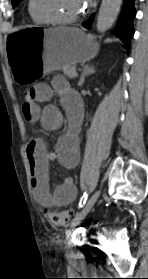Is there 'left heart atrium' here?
<instances>
[{
  "mask_svg": "<svg viewBox=\"0 0 148 279\" xmlns=\"http://www.w3.org/2000/svg\"><path fill=\"white\" fill-rule=\"evenodd\" d=\"M83 1V3H87V2H89L90 0H82Z\"/></svg>",
  "mask_w": 148,
  "mask_h": 279,
  "instance_id": "1",
  "label": "left heart atrium"
}]
</instances>
